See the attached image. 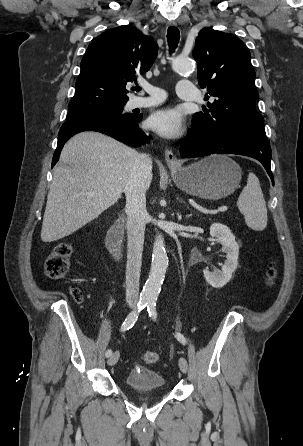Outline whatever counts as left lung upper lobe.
Here are the masks:
<instances>
[{"label":"left lung upper lobe","mask_w":303,"mask_h":446,"mask_svg":"<svg viewBox=\"0 0 303 446\" xmlns=\"http://www.w3.org/2000/svg\"><path fill=\"white\" fill-rule=\"evenodd\" d=\"M198 82L213 103L193 115V127L229 132L236 136L267 139L263 117L255 107L258 92L250 53L233 34L202 29L193 50Z\"/></svg>","instance_id":"5c2ea615"}]
</instances>
